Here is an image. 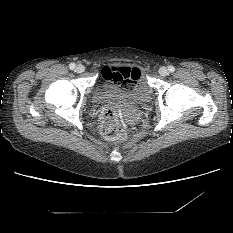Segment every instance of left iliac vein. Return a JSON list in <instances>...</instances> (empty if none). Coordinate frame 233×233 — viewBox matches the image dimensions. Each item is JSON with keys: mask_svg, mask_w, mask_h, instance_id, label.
Listing matches in <instances>:
<instances>
[{"mask_svg": "<svg viewBox=\"0 0 233 233\" xmlns=\"http://www.w3.org/2000/svg\"><path fill=\"white\" fill-rule=\"evenodd\" d=\"M169 73L168 69L165 66L160 67L159 74L161 76H166Z\"/></svg>", "mask_w": 233, "mask_h": 233, "instance_id": "1", "label": "left iliac vein"}]
</instances>
